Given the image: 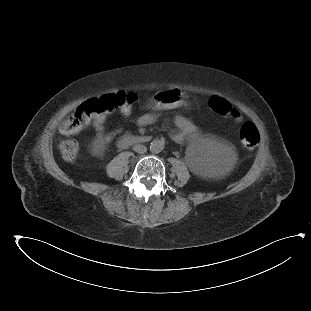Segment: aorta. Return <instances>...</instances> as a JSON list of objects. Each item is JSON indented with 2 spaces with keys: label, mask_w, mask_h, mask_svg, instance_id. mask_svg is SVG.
Wrapping results in <instances>:
<instances>
[{
  "label": "aorta",
  "mask_w": 311,
  "mask_h": 311,
  "mask_svg": "<svg viewBox=\"0 0 311 311\" xmlns=\"http://www.w3.org/2000/svg\"><path fill=\"white\" fill-rule=\"evenodd\" d=\"M150 149L152 152L159 153L164 149V142L161 140H154L151 143Z\"/></svg>",
  "instance_id": "1"
}]
</instances>
